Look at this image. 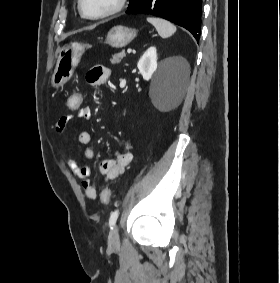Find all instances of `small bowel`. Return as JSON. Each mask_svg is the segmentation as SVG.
I'll return each mask as SVG.
<instances>
[{
	"label": "small bowel",
	"mask_w": 280,
	"mask_h": 283,
	"mask_svg": "<svg viewBox=\"0 0 280 283\" xmlns=\"http://www.w3.org/2000/svg\"><path fill=\"white\" fill-rule=\"evenodd\" d=\"M110 76V70L106 67H96L89 71L86 79L94 86H100L106 83ZM67 104V103H66ZM77 117L83 120L89 119L91 111L87 107L78 108L76 112ZM72 117L65 115L59 118L55 124V130L61 133L66 126L71 122ZM79 142L84 146L83 156L86 160H92L95 157V150L91 146V135L88 131H81L78 135ZM130 145H125L123 152L116 151L112 157L104 158L99 162V173L104 177V182L108 183L114 181L121 174H123L125 167L132 161V153L130 152ZM69 169L81 179V187L85 195L89 199H94L97 196V188L91 182L90 168L86 164H80L73 158L65 160Z\"/></svg>",
	"instance_id": "1"
}]
</instances>
